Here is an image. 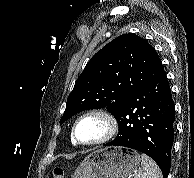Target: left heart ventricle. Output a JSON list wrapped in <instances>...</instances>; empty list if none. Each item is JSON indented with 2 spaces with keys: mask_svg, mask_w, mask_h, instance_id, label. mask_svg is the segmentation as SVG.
Listing matches in <instances>:
<instances>
[{
  "mask_svg": "<svg viewBox=\"0 0 194 178\" xmlns=\"http://www.w3.org/2000/svg\"><path fill=\"white\" fill-rule=\"evenodd\" d=\"M105 129V123L102 119L91 116L79 122L76 135L82 142H92L102 137Z\"/></svg>",
  "mask_w": 194,
  "mask_h": 178,
  "instance_id": "left-heart-ventricle-1",
  "label": "left heart ventricle"
}]
</instances>
